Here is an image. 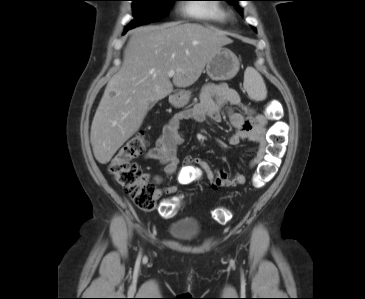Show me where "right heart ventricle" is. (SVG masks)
<instances>
[{"mask_svg":"<svg viewBox=\"0 0 365 299\" xmlns=\"http://www.w3.org/2000/svg\"><path fill=\"white\" fill-rule=\"evenodd\" d=\"M186 12L194 19L211 23H225L228 18L226 9L221 4L214 2L191 4L187 7Z\"/></svg>","mask_w":365,"mask_h":299,"instance_id":"e07e8e85","label":"right heart ventricle"}]
</instances>
